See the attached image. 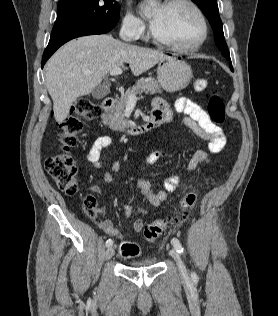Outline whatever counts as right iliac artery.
I'll return each mask as SVG.
<instances>
[{
  "mask_svg": "<svg viewBox=\"0 0 278 316\" xmlns=\"http://www.w3.org/2000/svg\"><path fill=\"white\" fill-rule=\"evenodd\" d=\"M113 245V241L111 240V239H108L107 241H106V247H110V246H112Z\"/></svg>",
  "mask_w": 278,
  "mask_h": 316,
  "instance_id": "1",
  "label": "right iliac artery"
}]
</instances>
